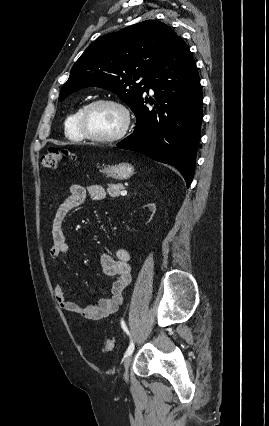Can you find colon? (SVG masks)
Segmentation results:
<instances>
[{
    "label": "colon",
    "mask_w": 269,
    "mask_h": 426,
    "mask_svg": "<svg viewBox=\"0 0 269 426\" xmlns=\"http://www.w3.org/2000/svg\"><path fill=\"white\" fill-rule=\"evenodd\" d=\"M70 156L67 150H59L57 148H49L41 157V165L47 169H55L63 157ZM102 348L105 352H110L114 349V341L105 339L102 343Z\"/></svg>",
    "instance_id": "1"
}]
</instances>
